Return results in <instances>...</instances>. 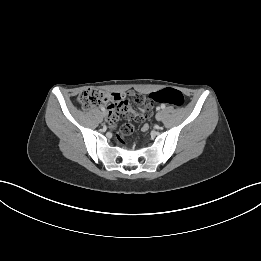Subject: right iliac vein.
I'll return each instance as SVG.
<instances>
[{"instance_id":"obj_1","label":"right iliac vein","mask_w":261,"mask_h":261,"mask_svg":"<svg viewBox=\"0 0 261 261\" xmlns=\"http://www.w3.org/2000/svg\"><path fill=\"white\" fill-rule=\"evenodd\" d=\"M103 116L104 117L107 116V112L106 111L103 112Z\"/></svg>"}]
</instances>
